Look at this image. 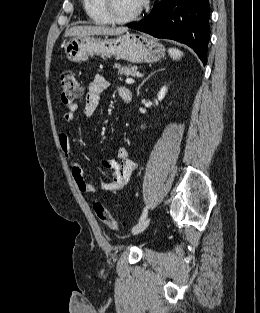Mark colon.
<instances>
[{
	"instance_id": "5ec220e1",
	"label": "colon",
	"mask_w": 260,
	"mask_h": 313,
	"mask_svg": "<svg viewBox=\"0 0 260 313\" xmlns=\"http://www.w3.org/2000/svg\"><path fill=\"white\" fill-rule=\"evenodd\" d=\"M61 98L67 106H74L83 95V87L75 75L64 72L60 77ZM94 211L98 219L112 230L119 228L118 221L112 213L100 202H94Z\"/></svg>"
}]
</instances>
